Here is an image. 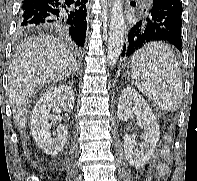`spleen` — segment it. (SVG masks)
I'll use <instances>...</instances> for the list:
<instances>
[{"label":"spleen","instance_id":"1","mask_svg":"<svg viewBox=\"0 0 197 181\" xmlns=\"http://www.w3.org/2000/svg\"><path fill=\"white\" fill-rule=\"evenodd\" d=\"M132 79L138 90L168 111H177L182 103L183 88L179 63L171 48L151 42L132 57Z\"/></svg>","mask_w":197,"mask_h":181}]
</instances>
